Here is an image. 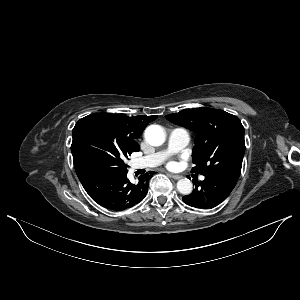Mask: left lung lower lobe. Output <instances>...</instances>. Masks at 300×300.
<instances>
[{
	"mask_svg": "<svg viewBox=\"0 0 300 300\" xmlns=\"http://www.w3.org/2000/svg\"><path fill=\"white\" fill-rule=\"evenodd\" d=\"M235 185L236 182L222 176L207 175L203 181H197L193 192L182 200L195 208H214L228 197Z\"/></svg>",
	"mask_w": 300,
	"mask_h": 300,
	"instance_id": "obj_1",
	"label": "left lung lower lobe"
}]
</instances>
